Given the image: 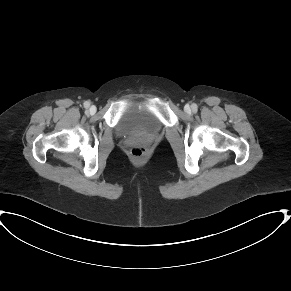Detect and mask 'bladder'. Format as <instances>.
<instances>
[{
    "label": "bladder",
    "instance_id": "1",
    "mask_svg": "<svg viewBox=\"0 0 291 291\" xmlns=\"http://www.w3.org/2000/svg\"><path fill=\"white\" fill-rule=\"evenodd\" d=\"M116 128L120 136L127 137L156 133L161 129V123L148 108L128 107L118 118Z\"/></svg>",
    "mask_w": 291,
    "mask_h": 291
}]
</instances>
